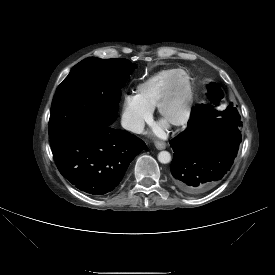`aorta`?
<instances>
[{
  "label": "aorta",
  "mask_w": 275,
  "mask_h": 275,
  "mask_svg": "<svg viewBox=\"0 0 275 275\" xmlns=\"http://www.w3.org/2000/svg\"><path fill=\"white\" fill-rule=\"evenodd\" d=\"M158 160L162 164H167L171 161V154L168 151H161L158 154Z\"/></svg>",
  "instance_id": "1"
}]
</instances>
